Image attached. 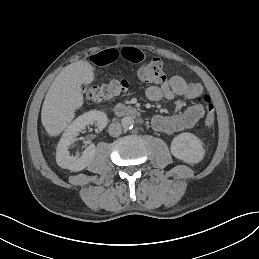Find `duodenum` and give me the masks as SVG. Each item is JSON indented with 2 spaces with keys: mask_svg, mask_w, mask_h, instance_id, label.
<instances>
[{
  "mask_svg": "<svg viewBox=\"0 0 259 259\" xmlns=\"http://www.w3.org/2000/svg\"><path fill=\"white\" fill-rule=\"evenodd\" d=\"M113 112L119 117H127V116L139 117L140 116V113L136 108L123 103H118L114 105Z\"/></svg>",
  "mask_w": 259,
  "mask_h": 259,
  "instance_id": "1",
  "label": "duodenum"
}]
</instances>
